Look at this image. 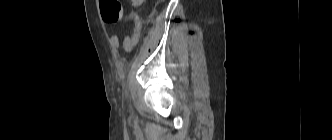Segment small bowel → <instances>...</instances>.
<instances>
[{
  "label": "small bowel",
  "mask_w": 332,
  "mask_h": 140,
  "mask_svg": "<svg viewBox=\"0 0 332 140\" xmlns=\"http://www.w3.org/2000/svg\"><path fill=\"white\" fill-rule=\"evenodd\" d=\"M133 7L141 6L145 0H130ZM140 38V25L135 24L132 28V31L125 35L123 38V47L126 52H131L137 45ZM112 47L118 48L120 43V38L117 34H113L110 39Z\"/></svg>",
  "instance_id": "c3829d8e"
}]
</instances>
